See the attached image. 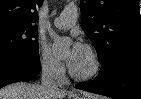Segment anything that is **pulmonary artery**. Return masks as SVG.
I'll return each instance as SVG.
<instances>
[{
    "label": "pulmonary artery",
    "mask_w": 141,
    "mask_h": 99,
    "mask_svg": "<svg viewBox=\"0 0 141 99\" xmlns=\"http://www.w3.org/2000/svg\"><path fill=\"white\" fill-rule=\"evenodd\" d=\"M77 8L73 5H68L63 12L54 20V26L58 29H68L72 27L77 20Z\"/></svg>",
    "instance_id": "1"
}]
</instances>
